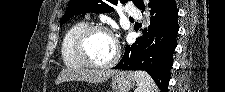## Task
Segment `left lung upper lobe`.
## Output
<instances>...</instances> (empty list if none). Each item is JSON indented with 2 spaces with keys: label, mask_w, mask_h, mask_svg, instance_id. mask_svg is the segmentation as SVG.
<instances>
[{
  "label": "left lung upper lobe",
  "mask_w": 225,
  "mask_h": 92,
  "mask_svg": "<svg viewBox=\"0 0 225 92\" xmlns=\"http://www.w3.org/2000/svg\"><path fill=\"white\" fill-rule=\"evenodd\" d=\"M133 3L142 11L144 5L141 0H132ZM159 0H150L149 7L152 8ZM128 0H70L65 14L60 21V25L67 22L72 16L87 12L106 13L112 12V5L125 4Z\"/></svg>",
  "instance_id": "1"
}]
</instances>
